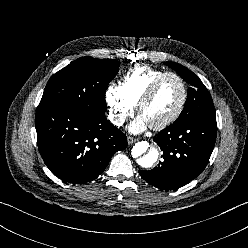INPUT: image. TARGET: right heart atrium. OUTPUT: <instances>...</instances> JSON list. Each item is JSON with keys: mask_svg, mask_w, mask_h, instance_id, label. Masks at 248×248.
I'll list each match as a JSON object with an SVG mask.
<instances>
[{"mask_svg": "<svg viewBox=\"0 0 248 248\" xmlns=\"http://www.w3.org/2000/svg\"><path fill=\"white\" fill-rule=\"evenodd\" d=\"M105 100L108 105L109 117L117 126L123 125L134 113L135 105L125 95L121 86H110L106 90Z\"/></svg>", "mask_w": 248, "mask_h": 248, "instance_id": "obj_1", "label": "right heart atrium"}]
</instances>
